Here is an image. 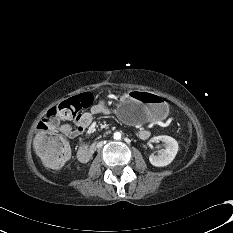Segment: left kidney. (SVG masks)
Instances as JSON below:
<instances>
[{
    "label": "left kidney",
    "instance_id": "left-kidney-1",
    "mask_svg": "<svg viewBox=\"0 0 233 233\" xmlns=\"http://www.w3.org/2000/svg\"><path fill=\"white\" fill-rule=\"evenodd\" d=\"M151 141H162L164 143L165 149H163L159 155L151 154L149 156L150 163L156 167H164L169 165L178 152L179 146L177 141L174 138L166 135L156 136L152 138Z\"/></svg>",
    "mask_w": 233,
    "mask_h": 233
}]
</instances>
